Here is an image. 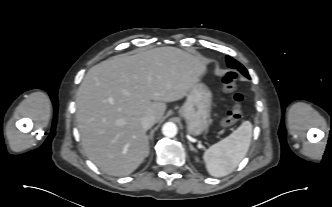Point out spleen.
Returning a JSON list of instances; mask_svg holds the SVG:
<instances>
[{"instance_id": "obj_1", "label": "spleen", "mask_w": 332, "mask_h": 207, "mask_svg": "<svg viewBox=\"0 0 332 207\" xmlns=\"http://www.w3.org/2000/svg\"><path fill=\"white\" fill-rule=\"evenodd\" d=\"M251 137L252 124L245 121L228 137L210 146L203 155L208 173L223 177L233 172L248 152Z\"/></svg>"}]
</instances>
